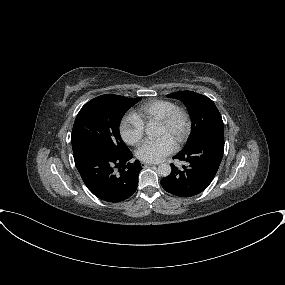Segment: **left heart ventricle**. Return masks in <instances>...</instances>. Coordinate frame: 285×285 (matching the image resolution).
Segmentation results:
<instances>
[{
	"mask_svg": "<svg viewBox=\"0 0 285 285\" xmlns=\"http://www.w3.org/2000/svg\"><path fill=\"white\" fill-rule=\"evenodd\" d=\"M181 131V122L177 121L171 128H166L162 125H158L157 137L168 136L174 142L178 138Z\"/></svg>",
	"mask_w": 285,
	"mask_h": 285,
	"instance_id": "b2bd125f",
	"label": "left heart ventricle"
}]
</instances>
